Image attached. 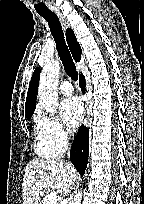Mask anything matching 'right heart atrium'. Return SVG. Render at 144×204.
Returning <instances> with one entry per match:
<instances>
[{
	"mask_svg": "<svg viewBox=\"0 0 144 204\" xmlns=\"http://www.w3.org/2000/svg\"><path fill=\"white\" fill-rule=\"evenodd\" d=\"M38 119L47 142L58 152L64 151L70 142V131L55 117L39 114Z\"/></svg>",
	"mask_w": 144,
	"mask_h": 204,
	"instance_id": "d8ad5b80",
	"label": "right heart atrium"
}]
</instances>
